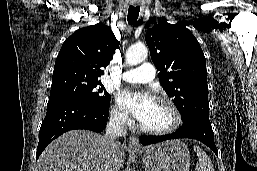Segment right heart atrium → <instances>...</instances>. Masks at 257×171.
I'll use <instances>...</instances> for the list:
<instances>
[{
	"label": "right heart atrium",
	"instance_id": "right-heart-atrium-1",
	"mask_svg": "<svg viewBox=\"0 0 257 171\" xmlns=\"http://www.w3.org/2000/svg\"><path fill=\"white\" fill-rule=\"evenodd\" d=\"M110 118L114 124L122 128L127 127L130 124L128 114L118 105L112 107Z\"/></svg>",
	"mask_w": 257,
	"mask_h": 171
}]
</instances>
